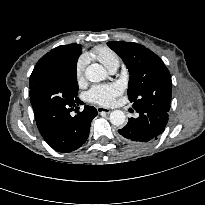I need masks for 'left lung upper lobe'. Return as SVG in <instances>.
<instances>
[{"label":"left lung upper lobe","instance_id":"obj_1","mask_svg":"<svg viewBox=\"0 0 205 205\" xmlns=\"http://www.w3.org/2000/svg\"><path fill=\"white\" fill-rule=\"evenodd\" d=\"M107 45L121 57L129 70L127 94L133 102V108H154L169 112L172 82L163 61L137 43L110 41Z\"/></svg>","mask_w":205,"mask_h":205}]
</instances>
